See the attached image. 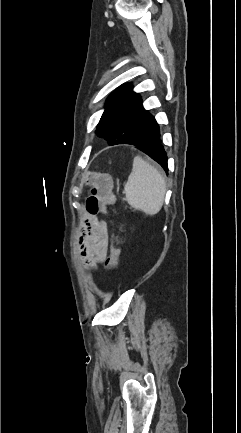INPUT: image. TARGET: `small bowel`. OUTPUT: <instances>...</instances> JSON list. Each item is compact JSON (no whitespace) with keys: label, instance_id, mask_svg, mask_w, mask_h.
I'll use <instances>...</instances> for the list:
<instances>
[{"label":"small bowel","instance_id":"obj_1","mask_svg":"<svg viewBox=\"0 0 241 433\" xmlns=\"http://www.w3.org/2000/svg\"><path fill=\"white\" fill-rule=\"evenodd\" d=\"M78 247L82 263L87 269H96L98 264L107 259V225L89 210L88 201L81 221Z\"/></svg>","mask_w":241,"mask_h":433}]
</instances>
